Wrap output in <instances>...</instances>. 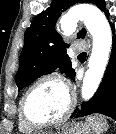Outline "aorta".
Masks as SVG:
<instances>
[{"mask_svg":"<svg viewBox=\"0 0 116 134\" xmlns=\"http://www.w3.org/2000/svg\"><path fill=\"white\" fill-rule=\"evenodd\" d=\"M84 22L93 38L92 53L82 84V98L89 100L102 80L112 46L110 25L105 15L96 7L81 4L71 8L60 20L63 30L73 29L77 22Z\"/></svg>","mask_w":116,"mask_h":134,"instance_id":"1","label":"aorta"}]
</instances>
